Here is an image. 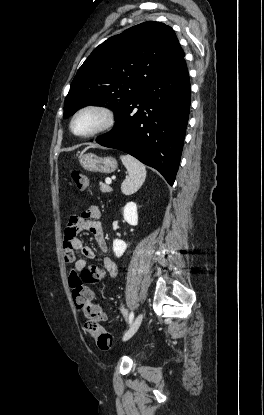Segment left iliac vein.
Wrapping results in <instances>:
<instances>
[{
  "label": "left iliac vein",
  "instance_id": "left-iliac-vein-1",
  "mask_svg": "<svg viewBox=\"0 0 264 415\" xmlns=\"http://www.w3.org/2000/svg\"><path fill=\"white\" fill-rule=\"evenodd\" d=\"M143 316H144L143 313L138 314V316L135 318V320L130 325L127 332L124 334L123 341H126V340L130 339L136 333V331L138 330V328L141 325V322L143 320Z\"/></svg>",
  "mask_w": 264,
  "mask_h": 415
}]
</instances>
